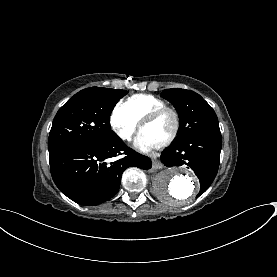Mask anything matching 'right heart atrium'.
I'll return each instance as SVG.
<instances>
[{"mask_svg":"<svg viewBox=\"0 0 277 277\" xmlns=\"http://www.w3.org/2000/svg\"><path fill=\"white\" fill-rule=\"evenodd\" d=\"M138 121L121 106L117 107L111 116V126L116 134L124 141H129L137 127Z\"/></svg>","mask_w":277,"mask_h":277,"instance_id":"d8ad5b80","label":"right heart atrium"}]
</instances>
